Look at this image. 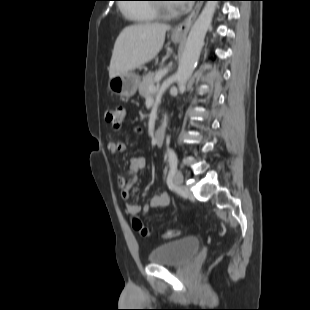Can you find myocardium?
Instances as JSON below:
<instances>
[{
	"label": "myocardium",
	"instance_id": "1",
	"mask_svg": "<svg viewBox=\"0 0 310 310\" xmlns=\"http://www.w3.org/2000/svg\"><path fill=\"white\" fill-rule=\"evenodd\" d=\"M157 13L161 17H170L175 14V10L171 5L168 4H159L156 6Z\"/></svg>",
	"mask_w": 310,
	"mask_h": 310
}]
</instances>
